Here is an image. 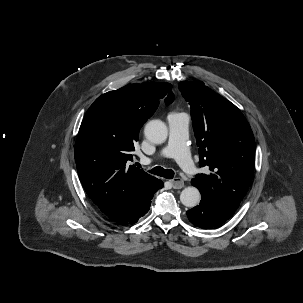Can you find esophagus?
<instances>
[{
    "label": "esophagus",
    "mask_w": 303,
    "mask_h": 303,
    "mask_svg": "<svg viewBox=\"0 0 303 303\" xmlns=\"http://www.w3.org/2000/svg\"><path fill=\"white\" fill-rule=\"evenodd\" d=\"M171 184L174 189H181L184 187V181L179 177H176L173 180H171Z\"/></svg>",
    "instance_id": "esophagus-1"
}]
</instances>
